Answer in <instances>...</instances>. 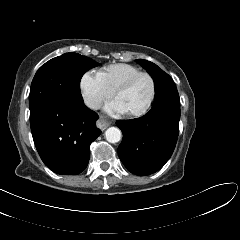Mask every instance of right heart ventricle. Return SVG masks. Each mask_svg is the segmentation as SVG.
I'll use <instances>...</instances> for the list:
<instances>
[{
    "instance_id": "obj_1",
    "label": "right heart ventricle",
    "mask_w": 240,
    "mask_h": 240,
    "mask_svg": "<svg viewBox=\"0 0 240 240\" xmlns=\"http://www.w3.org/2000/svg\"><path fill=\"white\" fill-rule=\"evenodd\" d=\"M140 72L141 70L134 65L118 63L105 66L98 75L110 89L115 91L124 81Z\"/></svg>"
}]
</instances>
